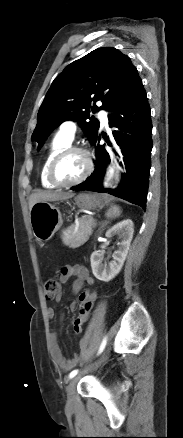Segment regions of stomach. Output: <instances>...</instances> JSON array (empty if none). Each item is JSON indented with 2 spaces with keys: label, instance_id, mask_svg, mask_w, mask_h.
Wrapping results in <instances>:
<instances>
[{
  "label": "stomach",
  "instance_id": "obj_1",
  "mask_svg": "<svg viewBox=\"0 0 183 438\" xmlns=\"http://www.w3.org/2000/svg\"><path fill=\"white\" fill-rule=\"evenodd\" d=\"M74 200L83 209H91L102 203L99 196L86 193L79 194ZM29 217L33 235L40 242L50 240L63 224L59 208L47 201L35 203L30 209Z\"/></svg>",
  "mask_w": 183,
  "mask_h": 438
}]
</instances>
